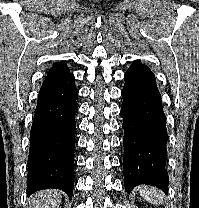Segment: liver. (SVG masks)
I'll list each match as a JSON object with an SVG mask.
<instances>
[{"instance_id": "6515ba94", "label": "liver", "mask_w": 199, "mask_h": 208, "mask_svg": "<svg viewBox=\"0 0 199 208\" xmlns=\"http://www.w3.org/2000/svg\"><path fill=\"white\" fill-rule=\"evenodd\" d=\"M62 201V192L54 189L40 191L31 199V208H58Z\"/></svg>"}]
</instances>
